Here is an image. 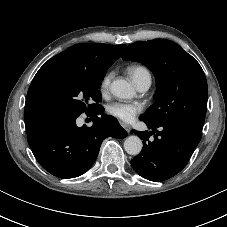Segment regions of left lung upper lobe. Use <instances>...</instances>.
<instances>
[{"label": "left lung upper lobe", "instance_id": "1", "mask_svg": "<svg viewBox=\"0 0 227 227\" xmlns=\"http://www.w3.org/2000/svg\"><path fill=\"white\" fill-rule=\"evenodd\" d=\"M123 60L141 62L154 74L155 103L140 117L152 125L173 122L201 131L208 88L199 63L172 41L156 39L129 45Z\"/></svg>", "mask_w": 227, "mask_h": 227}]
</instances>
